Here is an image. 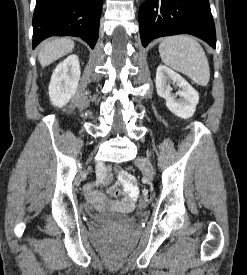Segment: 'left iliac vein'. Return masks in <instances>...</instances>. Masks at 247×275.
I'll list each match as a JSON object with an SVG mask.
<instances>
[{"label": "left iliac vein", "instance_id": "1", "mask_svg": "<svg viewBox=\"0 0 247 275\" xmlns=\"http://www.w3.org/2000/svg\"><path fill=\"white\" fill-rule=\"evenodd\" d=\"M136 165L143 171L147 177L154 176V168L149 159L145 157L138 158L136 160Z\"/></svg>", "mask_w": 247, "mask_h": 275}]
</instances>
